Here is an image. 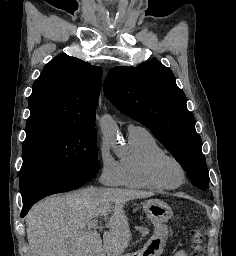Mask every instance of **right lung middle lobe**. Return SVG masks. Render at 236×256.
<instances>
[{
  "label": "right lung middle lobe",
  "instance_id": "dd1d6c3e",
  "mask_svg": "<svg viewBox=\"0 0 236 256\" xmlns=\"http://www.w3.org/2000/svg\"><path fill=\"white\" fill-rule=\"evenodd\" d=\"M19 173L20 191L73 174L92 177L99 171L95 125L35 121L26 123Z\"/></svg>",
  "mask_w": 236,
  "mask_h": 256
}]
</instances>
